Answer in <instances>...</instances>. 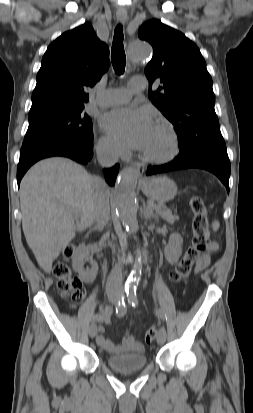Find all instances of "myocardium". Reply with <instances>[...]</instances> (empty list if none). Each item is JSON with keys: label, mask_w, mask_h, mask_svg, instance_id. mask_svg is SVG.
Listing matches in <instances>:
<instances>
[{"label": "myocardium", "mask_w": 253, "mask_h": 413, "mask_svg": "<svg viewBox=\"0 0 253 413\" xmlns=\"http://www.w3.org/2000/svg\"><path fill=\"white\" fill-rule=\"evenodd\" d=\"M156 125L166 133L169 140V149L162 155H155L142 150L141 156L145 161L163 164L170 162L178 155L180 150V142L175 128L168 120L160 118L156 121Z\"/></svg>", "instance_id": "obj_1"}]
</instances>
